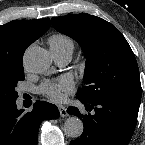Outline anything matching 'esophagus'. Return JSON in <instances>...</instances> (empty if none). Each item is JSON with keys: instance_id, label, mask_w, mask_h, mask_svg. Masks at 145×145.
<instances>
[{"instance_id": "esophagus-1", "label": "esophagus", "mask_w": 145, "mask_h": 145, "mask_svg": "<svg viewBox=\"0 0 145 145\" xmlns=\"http://www.w3.org/2000/svg\"><path fill=\"white\" fill-rule=\"evenodd\" d=\"M59 112H60L61 117L67 116V110L64 106H59Z\"/></svg>"}]
</instances>
